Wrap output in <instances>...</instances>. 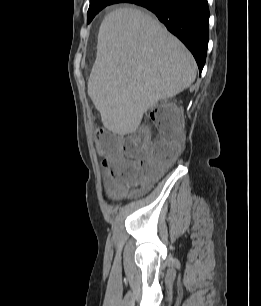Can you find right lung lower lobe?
I'll use <instances>...</instances> for the list:
<instances>
[{
    "label": "right lung lower lobe",
    "mask_w": 261,
    "mask_h": 306,
    "mask_svg": "<svg viewBox=\"0 0 261 306\" xmlns=\"http://www.w3.org/2000/svg\"><path fill=\"white\" fill-rule=\"evenodd\" d=\"M153 12L193 54L201 72L209 39L207 0H128Z\"/></svg>",
    "instance_id": "obj_1"
}]
</instances>
